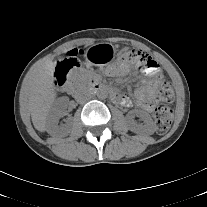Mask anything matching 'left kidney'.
<instances>
[{
  "instance_id": "obj_1",
  "label": "left kidney",
  "mask_w": 207,
  "mask_h": 207,
  "mask_svg": "<svg viewBox=\"0 0 207 207\" xmlns=\"http://www.w3.org/2000/svg\"><path fill=\"white\" fill-rule=\"evenodd\" d=\"M137 114L144 121V124H137L133 120L132 113L127 115V121L129 124V128L132 132L141 135H152L155 132L156 126L153 122L151 116L142 110L137 111Z\"/></svg>"
}]
</instances>
